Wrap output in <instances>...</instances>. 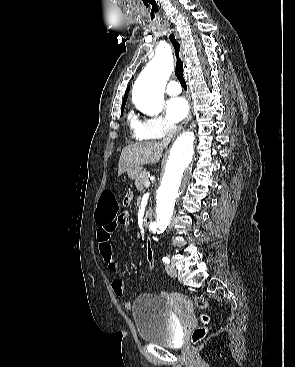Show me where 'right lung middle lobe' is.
Instances as JSON below:
<instances>
[{
	"label": "right lung middle lobe",
	"mask_w": 295,
	"mask_h": 367,
	"mask_svg": "<svg viewBox=\"0 0 295 367\" xmlns=\"http://www.w3.org/2000/svg\"><path fill=\"white\" fill-rule=\"evenodd\" d=\"M124 107H125V104H124V105H122L121 115L123 114Z\"/></svg>",
	"instance_id": "1"
}]
</instances>
